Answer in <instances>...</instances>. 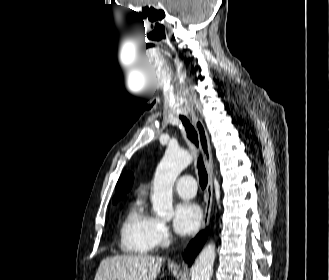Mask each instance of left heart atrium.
<instances>
[{
    "instance_id": "obj_1",
    "label": "left heart atrium",
    "mask_w": 329,
    "mask_h": 280,
    "mask_svg": "<svg viewBox=\"0 0 329 280\" xmlns=\"http://www.w3.org/2000/svg\"><path fill=\"white\" fill-rule=\"evenodd\" d=\"M201 220V210L195 203L183 201L175 206L173 227L179 234H192L199 228Z\"/></svg>"
}]
</instances>
